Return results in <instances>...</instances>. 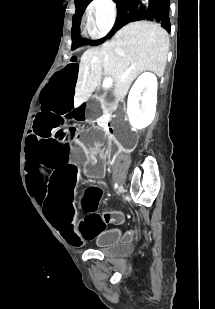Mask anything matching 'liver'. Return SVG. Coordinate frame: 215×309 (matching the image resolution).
<instances>
[{
	"mask_svg": "<svg viewBox=\"0 0 215 309\" xmlns=\"http://www.w3.org/2000/svg\"><path fill=\"white\" fill-rule=\"evenodd\" d=\"M169 50V34L159 22L137 20L120 28L99 48H88L80 58L74 106L90 98L102 76L113 78L116 98L126 96L131 82L143 70L163 76Z\"/></svg>",
	"mask_w": 215,
	"mask_h": 309,
	"instance_id": "1",
	"label": "liver"
}]
</instances>
